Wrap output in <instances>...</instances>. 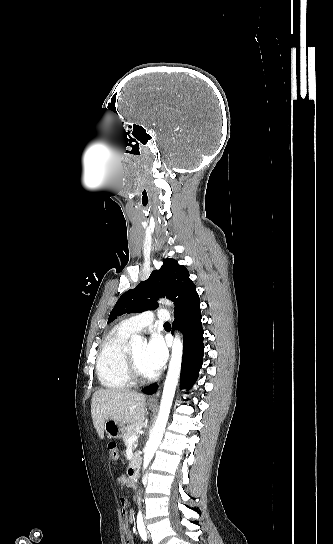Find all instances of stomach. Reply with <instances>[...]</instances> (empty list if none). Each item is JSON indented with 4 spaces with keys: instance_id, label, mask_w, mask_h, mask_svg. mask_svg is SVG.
Masks as SVG:
<instances>
[{
    "instance_id": "1",
    "label": "stomach",
    "mask_w": 333,
    "mask_h": 544,
    "mask_svg": "<svg viewBox=\"0 0 333 544\" xmlns=\"http://www.w3.org/2000/svg\"><path fill=\"white\" fill-rule=\"evenodd\" d=\"M104 431L109 438H121L124 433V424L114 420H107L104 424Z\"/></svg>"
}]
</instances>
